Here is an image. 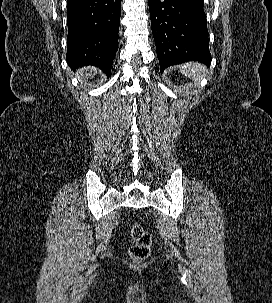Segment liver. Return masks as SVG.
<instances>
[{
    "label": "liver",
    "instance_id": "obj_1",
    "mask_svg": "<svg viewBox=\"0 0 272 303\" xmlns=\"http://www.w3.org/2000/svg\"><path fill=\"white\" fill-rule=\"evenodd\" d=\"M96 73H97V69L95 67L87 66V67L80 68L77 71V76L82 79H85L88 77H93Z\"/></svg>",
    "mask_w": 272,
    "mask_h": 303
}]
</instances>
